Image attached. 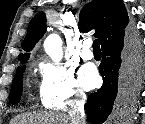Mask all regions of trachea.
<instances>
[{
  "label": "trachea",
  "instance_id": "1",
  "mask_svg": "<svg viewBox=\"0 0 145 124\" xmlns=\"http://www.w3.org/2000/svg\"><path fill=\"white\" fill-rule=\"evenodd\" d=\"M93 51H100V45H99V40L95 39L93 41Z\"/></svg>",
  "mask_w": 145,
  "mask_h": 124
}]
</instances>
